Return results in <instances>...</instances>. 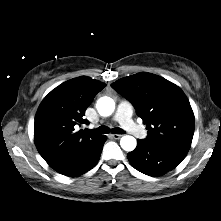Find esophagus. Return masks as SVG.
<instances>
[{
  "label": "esophagus",
  "mask_w": 221,
  "mask_h": 221,
  "mask_svg": "<svg viewBox=\"0 0 221 221\" xmlns=\"http://www.w3.org/2000/svg\"><path fill=\"white\" fill-rule=\"evenodd\" d=\"M111 137L114 139H120L122 137L121 134H111Z\"/></svg>",
  "instance_id": "obj_1"
}]
</instances>
